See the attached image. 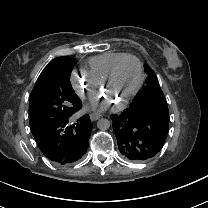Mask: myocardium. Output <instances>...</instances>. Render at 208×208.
Returning a JSON list of instances; mask_svg holds the SVG:
<instances>
[{
    "label": "myocardium",
    "instance_id": "1",
    "mask_svg": "<svg viewBox=\"0 0 208 208\" xmlns=\"http://www.w3.org/2000/svg\"><path fill=\"white\" fill-rule=\"evenodd\" d=\"M125 59H132L134 60L137 64H138V67H139V80H138V83L137 85L135 86V88L127 95L125 96L124 98L122 99H119L117 100V105L118 107H122L124 106L125 104H127L129 102V100H131L134 96L137 95V93L140 91V89L142 88L143 86V83H144V80H145V71H144V65L143 63L141 62V60L134 56V55H131V54H125L123 57H121L120 59H118L114 64L113 66L111 67L110 71L108 72V74L106 75V77L100 82V89H101V92H106L107 93V89H106V86L111 83V81L113 80V77L115 75V72L118 68V66L120 65V63L122 61H124Z\"/></svg>",
    "mask_w": 208,
    "mask_h": 208
}]
</instances>
